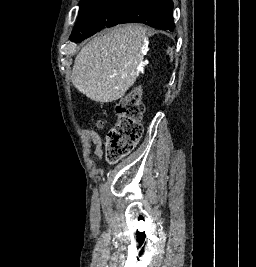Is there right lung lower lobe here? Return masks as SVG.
Here are the masks:
<instances>
[{"mask_svg":"<svg viewBox=\"0 0 256 267\" xmlns=\"http://www.w3.org/2000/svg\"><path fill=\"white\" fill-rule=\"evenodd\" d=\"M133 22L144 23L157 29L173 31L175 25L173 22L172 0H140L112 26Z\"/></svg>","mask_w":256,"mask_h":267,"instance_id":"98d812e1","label":"right lung lower lobe"}]
</instances>
